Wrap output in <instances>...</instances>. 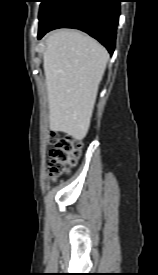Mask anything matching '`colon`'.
Wrapping results in <instances>:
<instances>
[{
	"label": "colon",
	"instance_id": "1",
	"mask_svg": "<svg viewBox=\"0 0 158 275\" xmlns=\"http://www.w3.org/2000/svg\"><path fill=\"white\" fill-rule=\"evenodd\" d=\"M52 149L49 153L48 169L53 178H56L74 166L80 156L81 148L72 135L57 137L52 134L50 138Z\"/></svg>",
	"mask_w": 158,
	"mask_h": 275
}]
</instances>
